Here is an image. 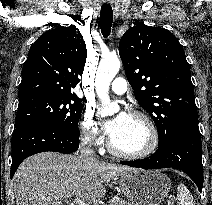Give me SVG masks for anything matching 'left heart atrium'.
<instances>
[{
  "label": "left heart atrium",
  "instance_id": "obj_1",
  "mask_svg": "<svg viewBox=\"0 0 212 205\" xmlns=\"http://www.w3.org/2000/svg\"><path fill=\"white\" fill-rule=\"evenodd\" d=\"M128 115L126 113H120L112 120L105 123V130L107 134L112 137L120 128V126L126 121Z\"/></svg>",
  "mask_w": 212,
  "mask_h": 205
}]
</instances>
